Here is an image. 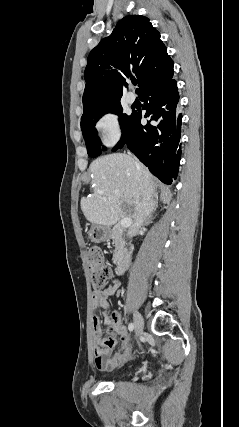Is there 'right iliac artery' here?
<instances>
[{
	"mask_svg": "<svg viewBox=\"0 0 239 427\" xmlns=\"http://www.w3.org/2000/svg\"><path fill=\"white\" fill-rule=\"evenodd\" d=\"M128 329H129V331H132V330L134 329V324H133V323H130V324L128 325Z\"/></svg>",
	"mask_w": 239,
	"mask_h": 427,
	"instance_id": "right-iliac-artery-1",
	"label": "right iliac artery"
}]
</instances>
